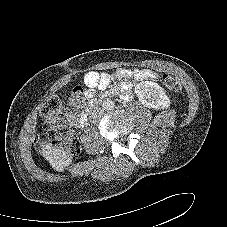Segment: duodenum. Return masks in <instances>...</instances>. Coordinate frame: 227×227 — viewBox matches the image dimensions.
Instances as JSON below:
<instances>
[{
	"instance_id": "1",
	"label": "duodenum",
	"mask_w": 227,
	"mask_h": 227,
	"mask_svg": "<svg viewBox=\"0 0 227 227\" xmlns=\"http://www.w3.org/2000/svg\"><path fill=\"white\" fill-rule=\"evenodd\" d=\"M94 107H95V104L92 105V108ZM90 112H91V109H88L87 111L82 113V115L78 119V124L80 127H84L86 125Z\"/></svg>"
}]
</instances>
